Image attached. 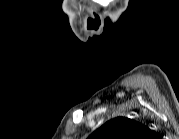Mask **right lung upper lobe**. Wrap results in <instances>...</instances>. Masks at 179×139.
Listing matches in <instances>:
<instances>
[{"label": "right lung upper lobe", "instance_id": "cb5924a9", "mask_svg": "<svg viewBox=\"0 0 179 139\" xmlns=\"http://www.w3.org/2000/svg\"><path fill=\"white\" fill-rule=\"evenodd\" d=\"M153 135L144 124L129 118L117 117L94 131L88 139H149Z\"/></svg>", "mask_w": 179, "mask_h": 139}]
</instances>
